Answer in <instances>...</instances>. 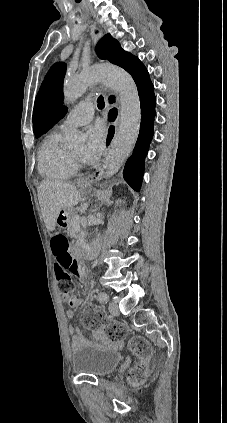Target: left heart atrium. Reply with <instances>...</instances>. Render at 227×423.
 Wrapping results in <instances>:
<instances>
[{"instance_id":"left-heart-atrium-1","label":"left heart atrium","mask_w":227,"mask_h":423,"mask_svg":"<svg viewBox=\"0 0 227 423\" xmlns=\"http://www.w3.org/2000/svg\"><path fill=\"white\" fill-rule=\"evenodd\" d=\"M107 129L103 125H96L88 131V142L83 153V159L88 164L96 163L105 150L107 142Z\"/></svg>"}]
</instances>
